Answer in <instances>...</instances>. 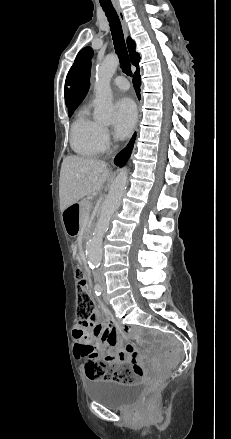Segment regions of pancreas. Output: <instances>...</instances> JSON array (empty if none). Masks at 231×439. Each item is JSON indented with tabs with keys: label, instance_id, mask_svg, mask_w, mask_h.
Wrapping results in <instances>:
<instances>
[{
	"label": "pancreas",
	"instance_id": "obj_1",
	"mask_svg": "<svg viewBox=\"0 0 231 439\" xmlns=\"http://www.w3.org/2000/svg\"><path fill=\"white\" fill-rule=\"evenodd\" d=\"M92 207L91 200L89 198H85L80 202V222L81 224H85L88 219L89 211Z\"/></svg>",
	"mask_w": 231,
	"mask_h": 439
}]
</instances>
